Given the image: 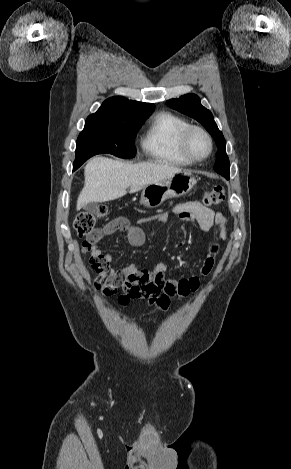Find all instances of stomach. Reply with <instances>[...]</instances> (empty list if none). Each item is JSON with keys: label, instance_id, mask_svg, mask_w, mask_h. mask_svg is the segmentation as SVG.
Listing matches in <instances>:
<instances>
[{"label": "stomach", "instance_id": "stomach-1", "mask_svg": "<svg viewBox=\"0 0 291 469\" xmlns=\"http://www.w3.org/2000/svg\"><path fill=\"white\" fill-rule=\"evenodd\" d=\"M196 184L191 172L181 171L160 182L147 185L141 194L140 203L148 208L160 206L169 198L187 194Z\"/></svg>", "mask_w": 291, "mask_h": 469}]
</instances>
